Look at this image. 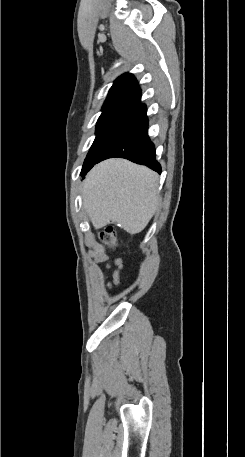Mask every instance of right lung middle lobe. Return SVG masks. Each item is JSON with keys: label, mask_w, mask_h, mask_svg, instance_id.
Wrapping results in <instances>:
<instances>
[{"label": "right lung middle lobe", "mask_w": 245, "mask_h": 457, "mask_svg": "<svg viewBox=\"0 0 245 457\" xmlns=\"http://www.w3.org/2000/svg\"><path fill=\"white\" fill-rule=\"evenodd\" d=\"M129 112H103L96 126V138L84 161L81 176H84L95 164L103 150L118 132Z\"/></svg>", "instance_id": "right-lung-middle-lobe-1"}]
</instances>
